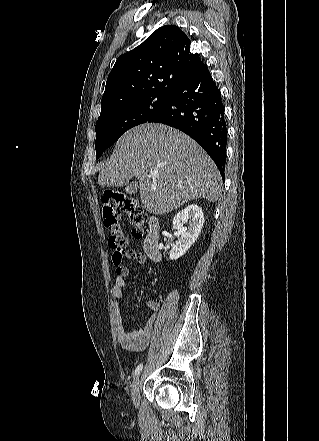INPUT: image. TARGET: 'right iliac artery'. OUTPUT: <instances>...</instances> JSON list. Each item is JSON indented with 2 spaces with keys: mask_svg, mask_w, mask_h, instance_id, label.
Instances as JSON below:
<instances>
[{
  "mask_svg": "<svg viewBox=\"0 0 319 441\" xmlns=\"http://www.w3.org/2000/svg\"><path fill=\"white\" fill-rule=\"evenodd\" d=\"M143 368V364H139L136 369H135V376H138L140 374V372L142 371Z\"/></svg>",
  "mask_w": 319,
  "mask_h": 441,
  "instance_id": "obj_1",
  "label": "right iliac artery"
}]
</instances>
